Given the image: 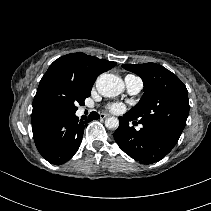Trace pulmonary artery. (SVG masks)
I'll return each instance as SVG.
<instances>
[{
	"mask_svg": "<svg viewBox=\"0 0 211 211\" xmlns=\"http://www.w3.org/2000/svg\"><path fill=\"white\" fill-rule=\"evenodd\" d=\"M125 84H126L128 93L131 95L138 94L143 87L142 80L139 77L134 76V75H127L125 77Z\"/></svg>",
	"mask_w": 211,
	"mask_h": 211,
	"instance_id": "e3ab8cb5",
	"label": "pulmonary artery"
}]
</instances>
